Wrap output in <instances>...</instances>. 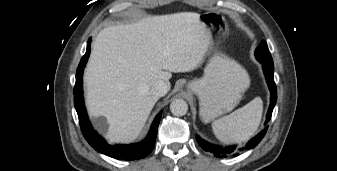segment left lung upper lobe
<instances>
[{
    "label": "left lung upper lobe",
    "mask_w": 337,
    "mask_h": 171,
    "mask_svg": "<svg viewBox=\"0 0 337 171\" xmlns=\"http://www.w3.org/2000/svg\"><path fill=\"white\" fill-rule=\"evenodd\" d=\"M255 56L259 61L273 63L267 43L265 41H262L257 47L255 51Z\"/></svg>",
    "instance_id": "1"
}]
</instances>
